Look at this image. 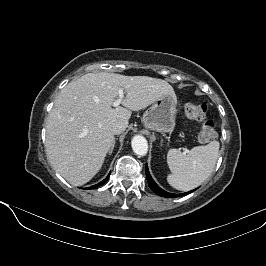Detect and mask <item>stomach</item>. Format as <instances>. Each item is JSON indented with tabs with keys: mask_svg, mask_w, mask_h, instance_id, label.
I'll use <instances>...</instances> for the list:
<instances>
[{
	"mask_svg": "<svg viewBox=\"0 0 266 266\" xmlns=\"http://www.w3.org/2000/svg\"><path fill=\"white\" fill-rule=\"evenodd\" d=\"M177 100L172 96L157 99L144 113L143 123L146 128L157 132H171L175 127Z\"/></svg>",
	"mask_w": 266,
	"mask_h": 266,
	"instance_id": "0dacf381",
	"label": "stomach"
}]
</instances>
